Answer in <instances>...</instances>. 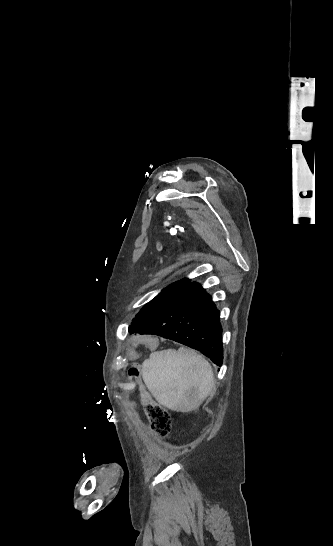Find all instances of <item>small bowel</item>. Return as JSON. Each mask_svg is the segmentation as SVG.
<instances>
[{
	"mask_svg": "<svg viewBox=\"0 0 333 546\" xmlns=\"http://www.w3.org/2000/svg\"><path fill=\"white\" fill-rule=\"evenodd\" d=\"M135 343L138 345H142L143 348H145L146 352H152V349H156L159 346V341L155 338V334L153 332H146V333H138L137 337L135 338ZM142 355L135 354L134 360L140 361L142 360Z\"/></svg>",
	"mask_w": 333,
	"mask_h": 546,
	"instance_id": "obj_1",
	"label": "small bowel"
}]
</instances>
